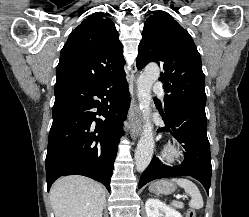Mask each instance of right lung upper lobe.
Segmentation results:
<instances>
[{
	"label": "right lung upper lobe",
	"instance_id": "obj_1",
	"mask_svg": "<svg viewBox=\"0 0 249 217\" xmlns=\"http://www.w3.org/2000/svg\"><path fill=\"white\" fill-rule=\"evenodd\" d=\"M123 46L114 23L91 16L70 34L60 54L55 87L95 85L125 74Z\"/></svg>",
	"mask_w": 249,
	"mask_h": 217
}]
</instances>
